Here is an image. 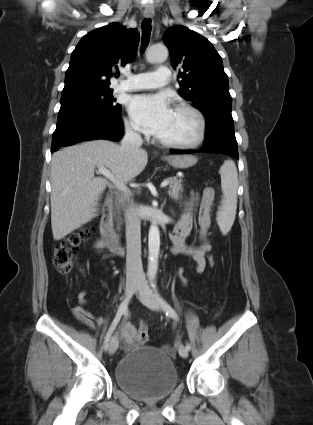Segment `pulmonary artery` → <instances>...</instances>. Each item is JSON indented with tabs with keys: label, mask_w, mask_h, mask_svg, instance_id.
I'll return each instance as SVG.
<instances>
[{
	"label": "pulmonary artery",
	"mask_w": 313,
	"mask_h": 425,
	"mask_svg": "<svg viewBox=\"0 0 313 425\" xmlns=\"http://www.w3.org/2000/svg\"><path fill=\"white\" fill-rule=\"evenodd\" d=\"M170 79V69L162 66L154 72L129 75L127 81L117 85V89L120 91L153 89L166 85Z\"/></svg>",
	"instance_id": "1"
}]
</instances>
